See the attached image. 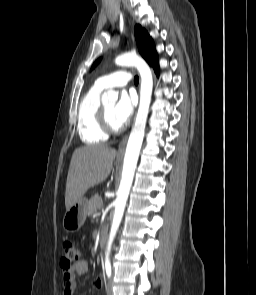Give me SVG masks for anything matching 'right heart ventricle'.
I'll use <instances>...</instances> for the list:
<instances>
[{"label":"right heart ventricle","mask_w":256,"mask_h":295,"mask_svg":"<svg viewBox=\"0 0 256 295\" xmlns=\"http://www.w3.org/2000/svg\"><path fill=\"white\" fill-rule=\"evenodd\" d=\"M104 89L96 84L92 86L80 102L78 109V133L81 140L89 145L107 140L99 124L100 97Z\"/></svg>","instance_id":"obj_1"}]
</instances>
